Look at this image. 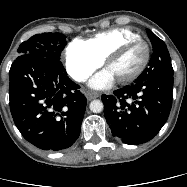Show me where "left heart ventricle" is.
Masks as SVG:
<instances>
[{
	"label": "left heart ventricle",
	"instance_id": "1",
	"mask_svg": "<svg viewBox=\"0 0 187 187\" xmlns=\"http://www.w3.org/2000/svg\"><path fill=\"white\" fill-rule=\"evenodd\" d=\"M146 47L142 43L130 46L121 56L113 59L107 66L115 78L120 79L133 73L143 62Z\"/></svg>",
	"mask_w": 187,
	"mask_h": 187
}]
</instances>
